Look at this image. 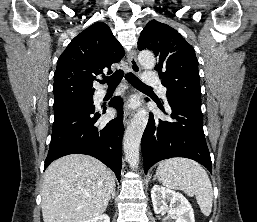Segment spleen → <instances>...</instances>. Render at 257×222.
Here are the masks:
<instances>
[{
  "instance_id": "1",
  "label": "spleen",
  "mask_w": 257,
  "mask_h": 222,
  "mask_svg": "<svg viewBox=\"0 0 257 222\" xmlns=\"http://www.w3.org/2000/svg\"><path fill=\"white\" fill-rule=\"evenodd\" d=\"M158 180L167 188L182 190L196 197L201 212L209 216L212 211V184L203 167L190 159L171 158L159 163Z\"/></svg>"
}]
</instances>
